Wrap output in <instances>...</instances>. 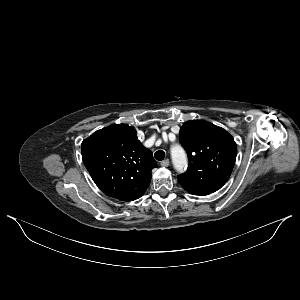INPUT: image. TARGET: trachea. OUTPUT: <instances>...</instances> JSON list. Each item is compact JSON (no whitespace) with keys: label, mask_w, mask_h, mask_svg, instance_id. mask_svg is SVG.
Masks as SVG:
<instances>
[{"label":"trachea","mask_w":300,"mask_h":300,"mask_svg":"<svg viewBox=\"0 0 300 300\" xmlns=\"http://www.w3.org/2000/svg\"><path fill=\"white\" fill-rule=\"evenodd\" d=\"M154 157L156 160L161 161L165 158V152L163 150H158L155 152Z\"/></svg>","instance_id":"1"}]
</instances>
